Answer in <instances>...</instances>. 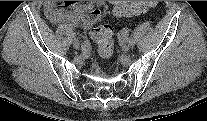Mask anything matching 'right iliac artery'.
Instances as JSON below:
<instances>
[{"instance_id": "right-iliac-artery-1", "label": "right iliac artery", "mask_w": 207, "mask_h": 121, "mask_svg": "<svg viewBox=\"0 0 207 121\" xmlns=\"http://www.w3.org/2000/svg\"><path fill=\"white\" fill-rule=\"evenodd\" d=\"M88 46H89V41H88V40H85V41L83 42V45H82L83 50H86V49L88 48Z\"/></svg>"}]
</instances>
